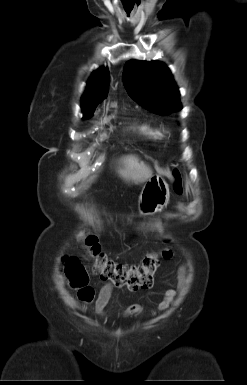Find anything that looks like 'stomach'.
Here are the masks:
<instances>
[{
    "instance_id": "0dacf381",
    "label": "stomach",
    "mask_w": 247,
    "mask_h": 385,
    "mask_svg": "<svg viewBox=\"0 0 247 385\" xmlns=\"http://www.w3.org/2000/svg\"><path fill=\"white\" fill-rule=\"evenodd\" d=\"M169 186L160 176H152L145 183L139 196V211L148 215L159 212L168 204Z\"/></svg>"
}]
</instances>
